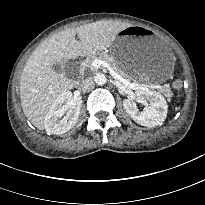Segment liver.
I'll use <instances>...</instances> for the list:
<instances>
[{"instance_id":"1","label":"liver","mask_w":205,"mask_h":205,"mask_svg":"<svg viewBox=\"0 0 205 205\" xmlns=\"http://www.w3.org/2000/svg\"><path fill=\"white\" fill-rule=\"evenodd\" d=\"M128 26L117 21H97L61 31L38 46L24 66L19 83L23 112L35 127L45 128V118L53 102L74 86L72 80L55 72L52 66L107 50L116 35Z\"/></svg>"}]
</instances>
